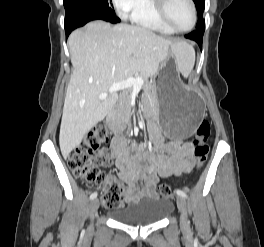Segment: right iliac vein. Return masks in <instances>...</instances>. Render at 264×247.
Instances as JSON below:
<instances>
[{"mask_svg":"<svg viewBox=\"0 0 264 247\" xmlns=\"http://www.w3.org/2000/svg\"><path fill=\"white\" fill-rule=\"evenodd\" d=\"M98 207H99L98 199L92 200L91 203H90V218H91V220H93L94 215H95Z\"/></svg>","mask_w":264,"mask_h":247,"instance_id":"1","label":"right iliac vein"}]
</instances>
